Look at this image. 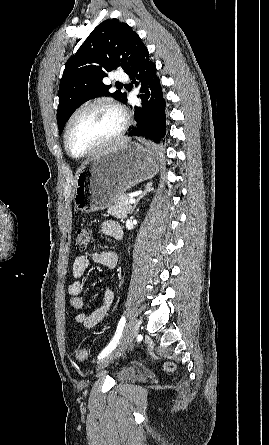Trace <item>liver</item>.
Instances as JSON below:
<instances>
[{"label": "liver", "mask_w": 269, "mask_h": 445, "mask_svg": "<svg viewBox=\"0 0 269 445\" xmlns=\"http://www.w3.org/2000/svg\"><path fill=\"white\" fill-rule=\"evenodd\" d=\"M129 142V138L124 137L119 139L118 141L115 142V144H113L112 146H109L106 150H104L103 152H108V151H114L117 150L118 148L123 147L124 145H126Z\"/></svg>", "instance_id": "obj_1"}]
</instances>
